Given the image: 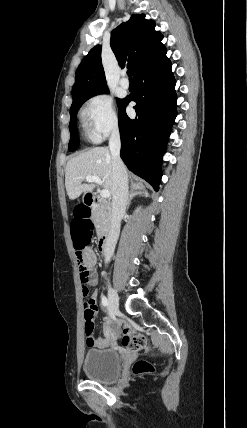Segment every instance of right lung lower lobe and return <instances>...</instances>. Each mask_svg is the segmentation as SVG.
<instances>
[{
    "label": "right lung lower lobe",
    "instance_id": "1",
    "mask_svg": "<svg viewBox=\"0 0 247 428\" xmlns=\"http://www.w3.org/2000/svg\"><path fill=\"white\" fill-rule=\"evenodd\" d=\"M171 62L165 56L156 64L138 73L136 91L123 99L119 107L120 156L128 169L145 179L158 191L161 180L162 154L172 131L176 111V80ZM135 101L136 118L125 111Z\"/></svg>",
    "mask_w": 247,
    "mask_h": 428
}]
</instances>
